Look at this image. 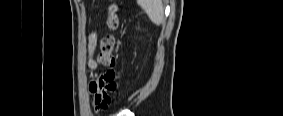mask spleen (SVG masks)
I'll list each match as a JSON object with an SVG mask.
<instances>
[{
    "label": "spleen",
    "mask_w": 283,
    "mask_h": 116,
    "mask_svg": "<svg viewBox=\"0 0 283 116\" xmlns=\"http://www.w3.org/2000/svg\"><path fill=\"white\" fill-rule=\"evenodd\" d=\"M138 5L148 15L155 25H160L164 21V8L161 0H138Z\"/></svg>",
    "instance_id": "1"
}]
</instances>
